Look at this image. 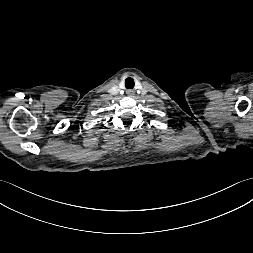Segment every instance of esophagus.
<instances>
[{"label": "esophagus", "mask_w": 253, "mask_h": 253, "mask_svg": "<svg viewBox=\"0 0 253 253\" xmlns=\"http://www.w3.org/2000/svg\"><path fill=\"white\" fill-rule=\"evenodd\" d=\"M126 93H127L128 96H132L134 94V91L129 89V90L126 91Z\"/></svg>", "instance_id": "obj_1"}]
</instances>
